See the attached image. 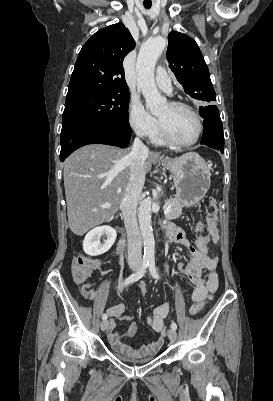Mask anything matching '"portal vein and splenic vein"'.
Listing matches in <instances>:
<instances>
[{"label": "portal vein and splenic vein", "mask_w": 273, "mask_h": 401, "mask_svg": "<svg viewBox=\"0 0 273 401\" xmlns=\"http://www.w3.org/2000/svg\"><path fill=\"white\" fill-rule=\"evenodd\" d=\"M164 205L165 206H163V212H164V215H167L169 210L172 209L171 202L165 201ZM100 207H102V209H108V207H112V205H111V203H105V205H100Z\"/></svg>", "instance_id": "18ae733b"}]
</instances>
